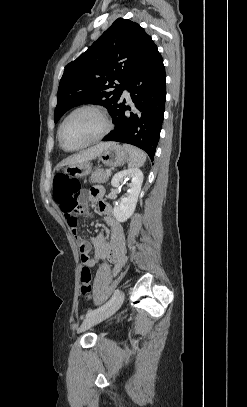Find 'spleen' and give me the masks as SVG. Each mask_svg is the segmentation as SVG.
<instances>
[{
  "label": "spleen",
  "mask_w": 247,
  "mask_h": 407,
  "mask_svg": "<svg viewBox=\"0 0 247 407\" xmlns=\"http://www.w3.org/2000/svg\"><path fill=\"white\" fill-rule=\"evenodd\" d=\"M123 147L129 153L128 166L130 168H138L144 165L146 161V154L142 150L128 144H124Z\"/></svg>",
  "instance_id": "3e777b00"
}]
</instances>
